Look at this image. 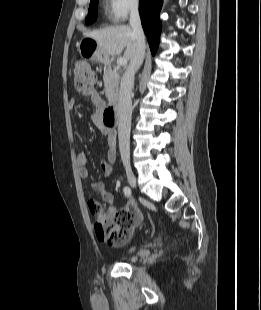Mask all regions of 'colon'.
Wrapping results in <instances>:
<instances>
[{"label": "colon", "instance_id": "obj_1", "mask_svg": "<svg viewBox=\"0 0 261 310\" xmlns=\"http://www.w3.org/2000/svg\"><path fill=\"white\" fill-rule=\"evenodd\" d=\"M73 85L76 90L82 91L90 87L96 80V74L90 64L81 58H76L71 63ZM89 207L95 215V233L97 238L111 246H122L130 237L135 225L143 219V213L138 210L135 200H128L124 209L114 215L101 211L100 205L91 200Z\"/></svg>", "mask_w": 261, "mask_h": 310}]
</instances>
